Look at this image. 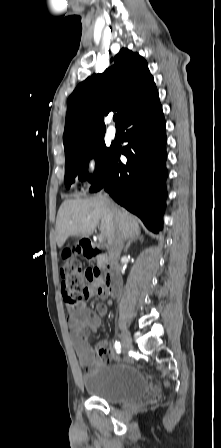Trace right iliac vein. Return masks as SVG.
<instances>
[{
    "label": "right iliac vein",
    "instance_id": "obj_1",
    "mask_svg": "<svg viewBox=\"0 0 221 448\" xmlns=\"http://www.w3.org/2000/svg\"><path fill=\"white\" fill-rule=\"evenodd\" d=\"M122 338V347L124 350L132 349V338L130 333L127 330H123L121 334Z\"/></svg>",
    "mask_w": 221,
    "mask_h": 448
}]
</instances>
